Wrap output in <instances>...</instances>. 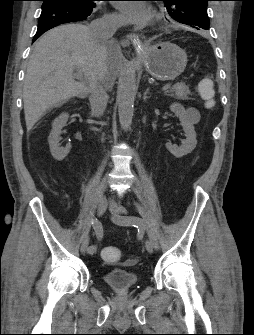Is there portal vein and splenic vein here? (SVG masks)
I'll use <instances>...</instances> for the list:
<instances>
[{"label":"portal vein and splenic vein","mask_w":254,"mask_h":335,"mask_svg":"<svg viewBox=\"0 0 254 335\" xmlns=\"http://www.w3.org/2000/svg\"><path fill=\"white\" fill-rule=\"evenodd\" d=\"M77 78L79 79V80H82V74L81 73H79L78 75H77ZM171 83H166L165 85H163L162 86V91H166V90H168L170 87H171Z\"/></svg>","instance_id":"18ae733b"}]
</instances>
